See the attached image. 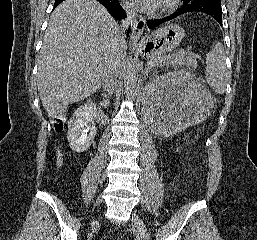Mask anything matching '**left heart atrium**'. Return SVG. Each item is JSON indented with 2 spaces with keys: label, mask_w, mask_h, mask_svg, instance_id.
Segmentation results:
<instances>
[{
  "label": "left heart atrium",
  "mask_w": 257,
  "mask_h": 240,
  "mask_svg": "<svg viewBox=\"0 0 257 240\" xmlns=\"http://www.w3.org/2000/svg\"><path fill=\"white\" fill-rule=\"evenodd\" d=\"M136 6L142 10L151 11L157 8L162 0H131Z\"/></svg>",
  "instance_id": "39dd6f15"
}]
</instances>
